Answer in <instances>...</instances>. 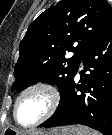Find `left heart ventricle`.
<instances>
[{
  "mask_svg": "<svg viewBox=\"0 0 112 135\" xmlns=\"http://www.w3.org/2000/svg\"><path fill=\"white\" fill-rule=\"evenodd\" d=\"M49 106L50 99L45 91L36 90L29 92L18 104V120L24 125L32 124L47 112Z\"/></svg>",
  "mask_w": 112,
  "mask_h": 135,
  "instance_id": "obj_1",
  "label": "left heart ventricle"
}]
</instances>
